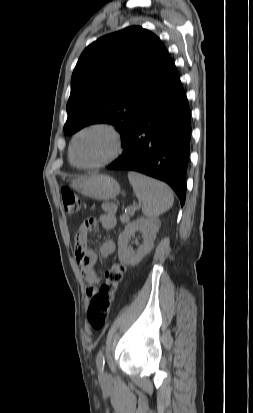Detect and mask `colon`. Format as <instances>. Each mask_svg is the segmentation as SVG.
I'll return each instance as SVG.
<instances>
[{
  "instance_id": "colon-1",
  "label": "colon",
  "mask_w": 253,
  "mask_h": 413,
  "mask_svg": "<svg viewBox=\"0 0 253 413\" xmlns=\"http://www.w3.org/2000/svg\"><path fill=\"white\" fill-rule=\"evenodd\" d=\"M62 202L65 211L70 215H75L80 211V202L77 196L68 188L61 191ZM125 266L121 263H114L106 272L104 282L98 290L91 296L87 310V321L94 330L103 328L109 319V308L113 300L118 285L125 275Z\"/></svg>"
}]
</instances>
